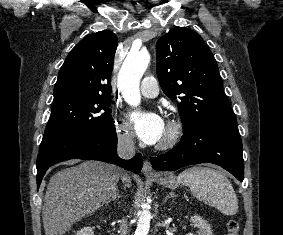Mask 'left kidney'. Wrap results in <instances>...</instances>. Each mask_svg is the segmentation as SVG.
<instances>
[{
    "mask_svg": "<svg viewBox=\"0 0 283 235\" xmlns=\"http://www.w3.org/2000/svg\"><path fill=\"white\" fill-rule=\"evenodd\" d=\"M191 220L194 223V225L199 229L198 235H212V230L210 225L202 217L198 215H194L191 217ZM188 235H193V234H188Z\"/></svg>",
    "mask_w": 283,
    "mask_h": 235,
    "instance_id": "obj_1",
    "label": "left kidney"
}]
</instances>
